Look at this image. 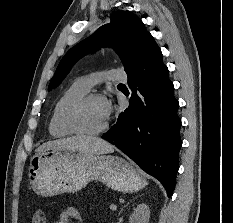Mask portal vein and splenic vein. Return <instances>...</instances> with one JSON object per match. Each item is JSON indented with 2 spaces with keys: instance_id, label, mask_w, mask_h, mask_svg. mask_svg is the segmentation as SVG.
I'll return each instance as SVG.
<instances>
[{
  "instance_id": "portal-vein-and-splenic-vein-1",
  "label": "portal vein and splenic vein",
  "mask_w": 233,
  "mask_h": 223,
  "mask_svg": "<svg viewBox=\"0 0 233 223\" xmlns=\"http://www.w3.org/2000/svg\"><path fill=\"white\" fill-rule=\"evenodd\" d=\"M110 209H114V211H115V209H117V205H114V203H111Z\"/></svg>"
}]
</instances>
